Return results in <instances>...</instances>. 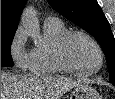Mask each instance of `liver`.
<instances>
[{
    "label": "liver",
    "instance_id": "liver-1",
    "mask_svg": "<svg viewBox=\"0 0 115 99\" xmlns=\"http://www.w3.org/2000/svg\"><path fill=\"white\" fill-rule=\"evenodd\" d=\"M80 84L63 76H15L1 72V99H60Z\"/></svg>",
    "mask_w": 115,
    "mask_h": 99
}]
</instances>
